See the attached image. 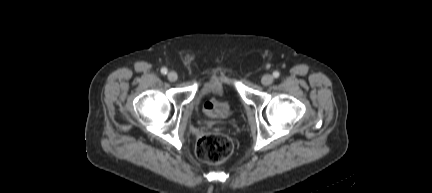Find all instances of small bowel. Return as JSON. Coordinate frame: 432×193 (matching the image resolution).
<instances>
[{
	"label": "small bowel",
	"mask_w": 432,
	"mask_h": 193,
	"mask_svg": "<svg viewBox=\"0 0 432 193\" xmlns=\"http://www.w3.org/2000/svg\"><path fill=\"white\" fill-rule=\"evenodd\" d=\"M204 112L210 117H222L226 114V109L219 103L208 102L204 106Z\"/></svg>",
	"instance_id": "1"
}]
</instances>
